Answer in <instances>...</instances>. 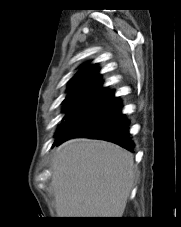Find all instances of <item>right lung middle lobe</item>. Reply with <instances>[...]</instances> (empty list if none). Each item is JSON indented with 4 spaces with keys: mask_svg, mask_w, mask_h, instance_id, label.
Instances as JSON below:
<instances>
[{
    "mask_svg": "<svg viewBox=\"0 0 181 227\" xmlns=\"http://www.w3.org/2000/svg\"><path fill=\"white\" fill-rule=\"evenodd\" d=\"M112 94V92H102L66 98L64 100L65 121H62L59 126L55 141L58 140L70 126L102 108L111 98Z\"/></svg>",
    "mask_w": 181,
    "mask_h": 227,
    "instance_id": "obj_1",
    "label": "right lung middle lobe"
}]
</instances>
